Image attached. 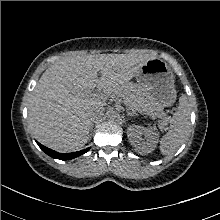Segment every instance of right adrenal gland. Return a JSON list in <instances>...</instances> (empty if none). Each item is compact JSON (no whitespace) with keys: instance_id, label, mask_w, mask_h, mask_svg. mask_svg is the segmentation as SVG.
<instances>
[{"instance_id":"1","label":"right adrenal gland","mask_w":220,"mask_h":220,"mask_svg":"<svg viewBox=\"0 0 220 220\" xmlns=\"http://www.w3.org/2000/svg\"><path fill=\"white\" fill-rule=\"evenodd\" d=\"M93 126H94V124L91 123V129H90L91 133H92V130H93Z\"/></svg>"}]
</instances>
